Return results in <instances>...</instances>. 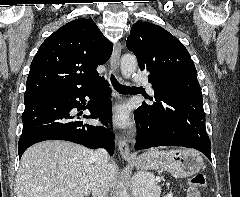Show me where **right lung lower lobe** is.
Returning a JSON list of instances; mask_svg holds the SVG:
<instances>
[{"label": "right lung lower lobe", "instance_id": "obj_1", "mask_svg": "<svg viewBox=\"0 0 240 197\" xmlns=\"http://www.w3.org/2000/svg\"><path fill=\"white\" fill-rule=\"evenodd\" d=\"M110 88L101 81L84 90H57L24 99L25 110L22 114L23 130L19 139L18 154L31 145L45 140H67L96 149L105 148L112 155L114 135L107 122L112 118ZM85 97L92 102L85 106ZM89 109L91 115L85 118H99L106 126H92L83 123L70 111Z\"/></svg>", "mask_w": 240, "mask_h": 197}]
</instances>
